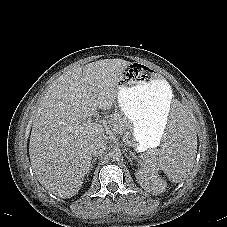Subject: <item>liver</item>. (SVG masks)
Returning a JSON list of instances; mask_svg holds the SVG:
<instances>
[{
    "label": "liver",
    "mask_w": 227,
    "mask_h": 227,
    "mask_svg": "<svg viewBox=\"0 0 227 227\" xmlns=\"http://www.w3.org/2000/svg\"><path fill=\"white\" fill-rule=\"evenodd\" d=\"M131 63L104 59L74 67L56 79L39 101L29 143L34 173L46 190L61 198L78 193L90 170L91 147L103 132L78 134L69 127L110 110L118 98L122 71Z\"/></svg>",
    "instance_id": "6515ba94"
}]
</instances>
